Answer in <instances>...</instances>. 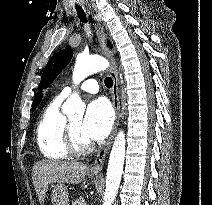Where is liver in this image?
Wrapping results in <instances>:
<instances>
[{"instance_id":"6515ba94","label":"liver","mask_w":212,"mask_h":205,"mask_svg":"<svg viewBox=\"0 0 212 205\" xmlns=\"http://www.w3.org/2000/svg\"><path fill=\"white\" fill-rule=\"evenodd\" d=\"M87 169L86 165L76 162H38L33 167V182L40 204H44L49 184H79Z\"/></svg>"}]
</instances>
